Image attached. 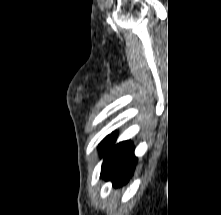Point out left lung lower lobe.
<instances>
[{
    "label": "left lung lower lobe",
    "mask_w": 221,
    "mask_h": 215,
    "mask_svg": "<svg viewBox=\"0 0 221 215\" xmlns=\"http://www.w3.org/2000/svg\"><path fill=\"white\" fill-rule=\"evenodd\" d=\"M116 134L107 136L101 147L104 161L101 176L111 181L114 187L125 185L132 176L137 158L134 156V147L130 141H123L114 145Z\"/></svg>",
    "instance_id": "left-lung-lower-lobe-1"
}]
</instances>
